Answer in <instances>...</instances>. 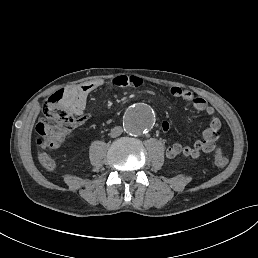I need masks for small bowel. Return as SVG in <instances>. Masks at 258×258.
<instances>
[{"label": "small bowel", "instance_id": "1", "mask_svg": "<svg viewBox=\"0 0 258 258\" xmlns=\"http://www.w3.org/2000/svg\"><path fill=\"white\" fill-rule=\"evenodd\" d=\"M104 82L102 80H94L82 83L77 86H71L63 91L62 98L59 104L74 113L75 115H82L84 113L88 96L102 87ZM112 84L116 87H140L143 81L137 76L120 75L113 79ZM170 93L173 97L182 99L186 102H191L193 107L199 111L204 112L210 117L209 125L202 132V139L196 140L192 145H184L175 142L165 149V155L170 158L185 157L198 158L202 153H211L215 147L216 141L220 137L221 121L215 115L214 108L209 106L207 101L202 97H196L191 91L174 86L170 88ZM162 129L167 131L169 123L164 121ZM45 157V160L43 159ZM38 159L41 165L46 170H54L56 167L55 160L51 154H41L39 152Z\"/></svg>", "mask_w": 258, "mask_h": 258}]
</instances>
